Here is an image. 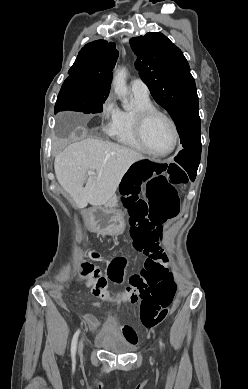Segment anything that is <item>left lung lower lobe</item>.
I'll return each mask as SVG.
<instances>
[{"label": "left lung lower lobe", "mask_w": 248, "mask_h": 389, "mask_svg": "<svg viewBox=\"0 0 248 389\" xmlns=\"http://www.w3.org/2000/svg\"><path fill=\"white\" fill-rule=\"evenodd\" d=\"M200 127L198 108L188 111L177 125L180 137L195 140L191 145L184 147L174 158L185 169L192 181L196 177L201 156Z\"/></svg>", "instance_id": "obj_1"}]
</instances>
